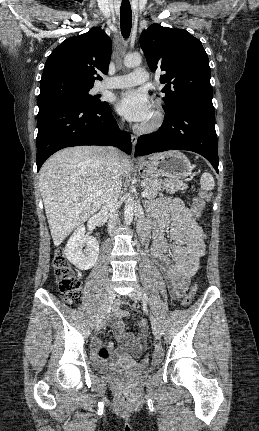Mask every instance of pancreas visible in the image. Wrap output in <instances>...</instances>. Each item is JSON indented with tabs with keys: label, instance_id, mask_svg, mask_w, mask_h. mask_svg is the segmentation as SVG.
I'll return each instance as SVG.
<instances>
[{
	"label": "pancreas",
	"instance_id": "obj_1",
	"mask_svg": "<svg viewBox=\"0 0 259 431\" xmlns=\"http://www.w3.org/2000/svg\"><path fill=\"white\" fill-rule=\"evenodd\" d=\"M142 187L148 192L147 199L155 198L161 190L174 194L178 190L187 189V185L180 180H161L159 178L144 179Z\"/></svg>",
	"mask_w": 259,
	"mask_h": 431
}]
</instances>
